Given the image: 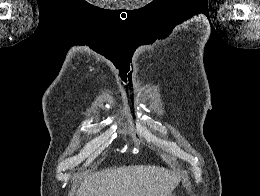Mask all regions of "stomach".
<instances>
[{
	"mask_svg": "<svg viewBox=\"0 0 260 196\" xmlns=\"http://www.w3.org/2000/svg\"><path fill=\"white\" fill-rule=\"evenodd\" d=\"M164 196H173V193H164Z\"/></svg>",
	"mask_w": 260,
	"mask_h": 196,
	"instance_id": "obj_1",
	"label": "stomach"
}]
</instances>
